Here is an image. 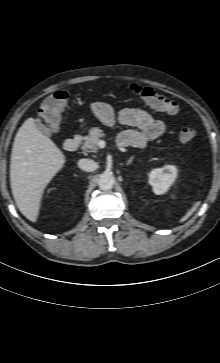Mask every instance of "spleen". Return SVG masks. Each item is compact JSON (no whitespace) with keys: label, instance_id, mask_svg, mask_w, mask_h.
I'll return each mask as SVG.
<instances>
[{"label":"spleen","instance_id":"1","mask_svg":"<svg viewBox=\"0 0 220 363\" xmlns=\"http://www.w3.org/2000/svg\"><path fill=\"white\" fill-rule=\"evenodd\" d=\"M200 205V202H197L191 210L188 211V213L186 214V216L183 219H187L189 216L192 215V213L196 210V208Z\"/></svg>","mask_w":220,"mask_h":363}]
</instances>
